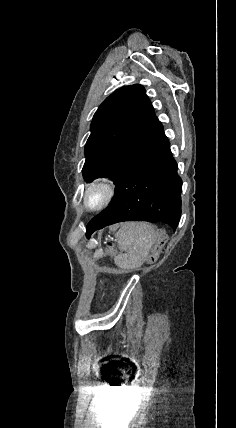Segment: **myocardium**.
<instances>
[{
  "instance_id": "1",
  "label": "myocardium",
  "mask_w": 236,
  "mask_h": 428,
  "mask_svg": "<svg viewBox=\"0 0 236 428\" xmlns=\"http://www.w3.org/2000/svg\"><path fill=\"white\" fill-rule=\"evenodd\" d=\"M116 183L108 177L89 181L83 194V205L90 212H98L109 206L117 195Z\"/></svg>"
}]
</instances>
